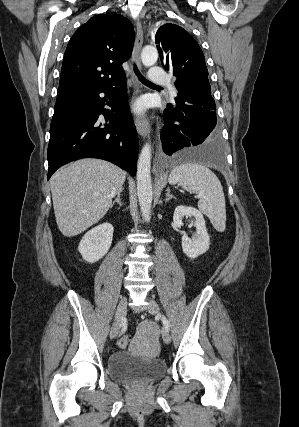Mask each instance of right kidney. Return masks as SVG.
<instances>
[{
	"label": "right kidney",
	"mask_w": 299,
	"mask_h": 427,
	"mask_svg": "<svg viewBox=\"0 0 299 427\" xmlns=\"http://www.w3.org/2000/svg\"><path fill=\"white\" fill-rule=\"evenodd\" d=\"M113 231V226L108 222L89 230L78 246L82 258L89 263H95L105 256L112 243Z\"/></svg>",
	"instance_id": "right-kidney-1"
}]
</instances>
